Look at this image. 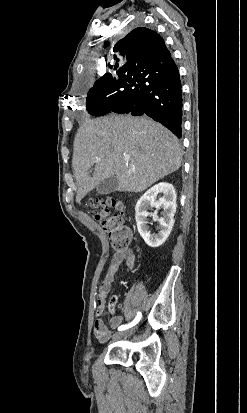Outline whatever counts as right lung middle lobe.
<instances>
[{"label":"right lung middle lobe","mask_w":247,"mask_h":413,"mask_svg":"<svg viewBox=\"0 0 247 413\" xmlns=\"http://www.w3.org/2000/svg\"><path fill=\"white\" fill-rule=\"evenodd\" d=\"M123 81L98 80L89 90L86 98L87 110L91 115L100 116L106 104L123 89Z\"/></svg>","instance_id":"right-lung-middle-lobe-1"}]
</instances>
